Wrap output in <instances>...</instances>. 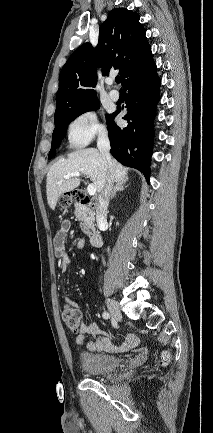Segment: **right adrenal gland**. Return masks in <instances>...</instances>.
<instances>
[{
	"instance_id": "2a0ac1e0",
	"label": "right adrenal gland",
	"mask_w": 213,
	"mask_h": 433,
	"mask_svg": "<svg viewBox=\"0 0 213 433\" xmlns=\"http://www.w3.org/2000/svg\"><path fill=\"white\" fill-rule=\"evenodd\" d=\"M125 184H126V182L121 181L115 185V187L111 193L110 200H112L116 196L117 192L125 190V188H126Z\"/></svg>"
}]
</instances>
